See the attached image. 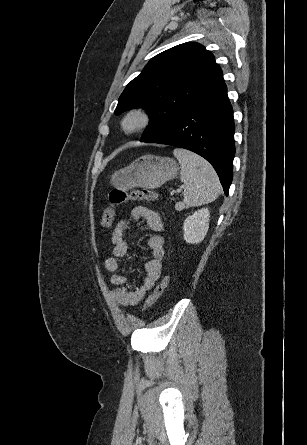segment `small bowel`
Returning a JSON list of instances; mask_svg holds the SVG:
<instances>
[{
	"instance_id": "1",
	"label": "small bowel",
	"mask_w": 307,
	"mask_h": 445,
	"mask_svg": "<svg viewBox=\"0 0 307 445\" xmlns=\"http://www.w3.org/2000/svg\"><path fill=\"white\" fill-rule=\"evenodd\" d=\"M139 220H145L147 226L155 233L148 239L152 257L145 265L146 277L140 286L133 287L127 282L126 276L121 273L120 259L128 252L125 234L130 228L131 222ZM162 231L163 222L160 215L144 206L135 207L117 222L111 236L112 257L105 261V268L111 273L110 281L114 286V288H108L107 293L118 305H137L160 278L162 261L165 256V241L161 234Z\"/></svg>"
}]
</instances>
